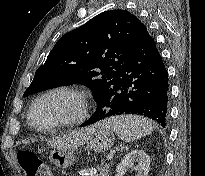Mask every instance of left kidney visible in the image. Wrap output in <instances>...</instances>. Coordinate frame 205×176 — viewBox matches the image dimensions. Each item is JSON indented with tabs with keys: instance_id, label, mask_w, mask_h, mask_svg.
Returning a JSON list of instances; mask_svg holds the SVG:
<instances>
[{
	"instance_id": "left-kidney-1",
	"label": "left kidney",
	"mask_w": 205,
	"mask_h": 176,
	"mask_svg": "<svg viewBox=\"0 0 205 176\" xmlns=\"http://www.w3.org/2000/svg\"><path fill=\"white\" fill-rule=\"evenodd\" d=\"M137 164V173L135 176H148L150 169L149 156L140 149H134L126 154L116 167V176H123L129 167Z\"/></svg>"
}]
</instances>
